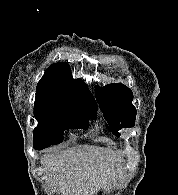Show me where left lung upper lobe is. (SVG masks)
I'll use <instances>...</instances> for the list:
<instances>
[{
    "label": "left lung upper lobe",
    "instance_id": "left-lung-upper-lobe-1",
    "mask_svg": "<svg viewBox=\"0 0 178 195\" xmlns=\"http://www.w3.org/2000/svg\"><path fill=\"white\" fill-rule=\"evenodd\" d=\"M95 95L104 118L116 136H120V128L134 126L137 111L132 104L133 93L129 88L121 83H113L96 87Z\"/></svg>",
    "mask_w": 178,
    "mask_h": 195
}]
</instances>
